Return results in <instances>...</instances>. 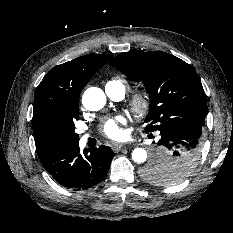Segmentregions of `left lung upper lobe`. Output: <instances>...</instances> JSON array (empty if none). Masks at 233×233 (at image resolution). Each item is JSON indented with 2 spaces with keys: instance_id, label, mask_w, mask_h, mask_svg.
Here are the masks:
<instances>
[{
  "instance_id": "left-lung-upper-lobe-1",
  "label": "left lung upper lobe",
  "mask_w": 233,
  "mask_h": 233,
  "mask_svg": "<svg viewBox=\"0 0 233 233\" xmlns=\"http://www.w3.org/2000/svg\"><path fill=\"white\" fill-rule=\"evenodd\" d=\"M110 65L144 83L151 101L146 131H156L177 120L205 122V92L193 67L183 60L162 51H138L121 53ZM196 164L197 160L189 157L165 165L150 162L142 176L155 184L172 185L186 178Z\"/></svg>"
}]
</instances>
